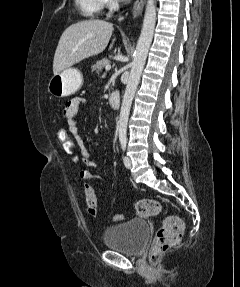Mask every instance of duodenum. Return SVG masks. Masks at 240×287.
I'll return each mask as SVG.
<instances>
[{
	"label": "duodenum",
	"mask_w": 240,
	"mask_h": 287,
	"mask_svg": "<svg viewBox=\"0 0 240 287\" xmlns=\"http://www.w3.org/2000/svg\"><path fill=\"white\" fill-rule=\"evenodd\" d=\"M108 102L110 106L114 109L118 108L120 105V94L118 91H112L108 96Z\"/></svg>",
	"instance_id": "410a0bca"
}]
</instances>
